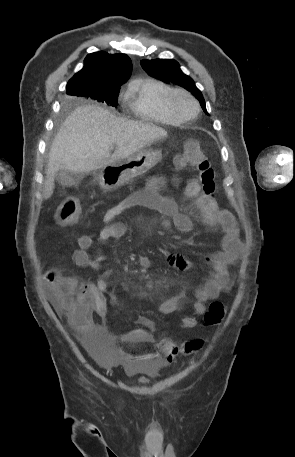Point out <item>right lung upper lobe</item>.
<instances>
[{
	"label": "right lung upper lobe",
	"mask_w": 295,
	"mask_h": 457,
	"mask_svg": "<svg viewBox=\"0 0 295 457\" xmlns=\"http://www.w3.org/2000/svg\"><path fill=\"white\" fill-rule=\"evenodd\" d=\"M132 63L125 54L95 52L87 55L84 67L67 84V92L74 85L91 89L118 88L130 76Z\"/></svg>",
	"instance_id": "obj_1"
}]
</instances>
